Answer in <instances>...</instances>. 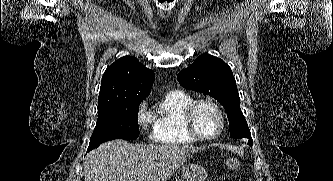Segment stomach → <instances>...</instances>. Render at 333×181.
<instances>
[{"mask_svg": "<svg viewBox=\"0 0 333 181\" xmlns=\"http://www.w3.org/2000/svg\"><path fill=\"white\" fill-rule=\"evenodd\" d=\"M184 181H205L207 178L206 169L197 163H188L182 168Z\"/></svg>", "mask_w": 333, "mask_h": 181, "instance_id": "obj_1", "label": "stomach"}]
</instances>
